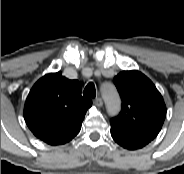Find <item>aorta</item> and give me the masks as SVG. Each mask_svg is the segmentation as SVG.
<instances>
[{
    "instance_id": "1",
    "label": "aorta",
    "mask_w": 184,
    "mask_h": 174,
    "mask_svg": "<svg viewBox=\"0 0 184 174\" xmlns=\"http://www.w3.org/2000/svg\"><path fill=\"white\" fill-rule=\"evenodd\" d=\"M102 96L105 100L107 112L110 115H115L120 110V98L116 88L111 84H106L102 87Z\"/></svg>"
}]
</instances>
